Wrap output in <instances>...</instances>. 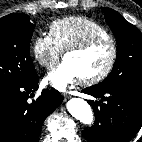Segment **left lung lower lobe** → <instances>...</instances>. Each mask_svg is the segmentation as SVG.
<instances>
[{
    "label": "left lung lower lobe",
    "mask_w": 142,
    "mask_h": 142,
    "mask_svg": "<svg viewBox=\"0 0 142 142\" xmlns=\"http://www.w3.org/2000/svg\"><path fill=\"white\" fill-rule=\"evenodd\" d=\"M99 101L87 100L95 122L83 130L88 142H129L142 127V87L93 85L83 90Z\"/></svg>",
    "instance_id": "obj_1"
}]
</instances>
